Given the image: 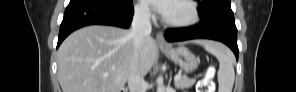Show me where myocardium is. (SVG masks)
<instances>
[{
    "label": "myocardium",
    "mask_w": 296,
    "mask_h": 92,
    "mask_svg": "<svg viewBox=\"0 0 296 92\" xmlns=\"http://www.w3.org/2000/svg\"><path fill=\"white\" fill-rule=\"evenodd\" d=\"M178 2H182L185 5H187V7L190 10V16L187 19L177 20V21L169 20L165 17V18H163V22L167 26L174 27V28H184V27H190V26L195 25L200 19V11H199L197 4L191 0H181Z\"/></svg>",
    "instance_id": "f54148a6"
}]
</instances>
